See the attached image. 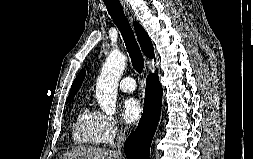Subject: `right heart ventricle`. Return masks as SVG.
<instances>
[{
	"label": "right heart ventricle",
	"mask_w": 253,
	"mask_h": 159,
	"mask_svg": "<svg viewBox=\"0 0 253 159\" xmlns=\"http://www.w3.org/2000/svg\"><path fill=\"white\" fill-rule=\"evenodd\" d=\"M72 139L77 145L96 146L101 144V113L83 105L73 121Z\"/></svg>",
	"instance_id": "right-heart-ventricle-1"
}]
</instances>
